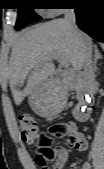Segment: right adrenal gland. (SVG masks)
<instances>
[{
  "instance_id": "obj_1",
  "label": "right adrenal gland",
  "mask_w": 104,
  "mask_h": 169,
  "mask_svg": "<svg viewBox=\"0 0 104 169\" xmlns=\"http://www.w3.org/2000/svg\"><path fill=\"white\" fill-rule=\"evenodd\" d=\"M94 47V71L97 72V62L99 59H103V55L99 52L98 47L96 45L93 46Z\"/></svg>"
}]
</instances>
